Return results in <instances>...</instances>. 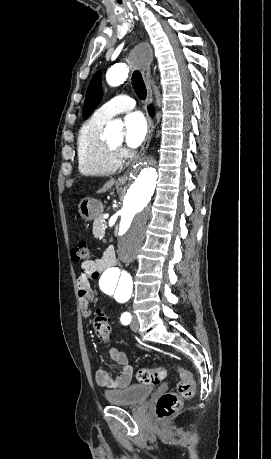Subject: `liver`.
<instances>
[{"mask_svg":"<svg viewBox=\"0 0 271 459\" xmlns=\"http://www.w3.org/2000/svg\"><path fill=\"white\" fill-rule=\"evenodd\" d=\"M115 180H109V182H106L100 190H98L97 194H103V192H107V190H111L112 186H114Z\"/></svg>","mask_w":271,"mask_h":459,"instance_id":"1","label":"liver"}]
</instances>
